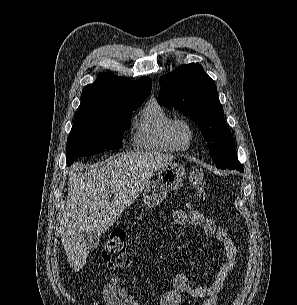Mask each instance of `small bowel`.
Segmentation results:
<instances>
[{"mask_svg": "<svg viewBox=\"0 0 297 305\" xmlns=\"http://www.w3.org/2000/svg\"><path fill=\"white\" fill-rule=\"evenodd\" d=\"M172 219L177 225L201 226L207 236H215L223 244L224 258L214 282L210 285L192 286L185 273L176 274L171 280L170 288L161 294L159 305H179L183 295L200 299L199 305H215L226 280L235 268L236 246L224 228L198 210H175ZM161 232L165 234L166 229L163 228ZM102 294L106 305H140L134 295L119 285V278L115 273L108 275Z\"/></svg>", "mask_w": 297, "mask_h": 305, "instance_id": "c3829d8e", "label": "small bowel"}]
</instances>
